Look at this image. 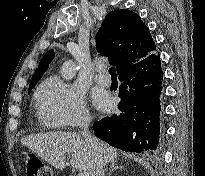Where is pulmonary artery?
I'll return each instance as SVG.
<instances>
[{
    "label": "pulmonary artery",
    "instance_id": "e3ab8cb5",
    "mask_svg": "<svg viewBox=\"0 0 205 176\" xmlns=\"http://www.w3.org/2000/svg\"><path fill=\"white\" fill-rule=\"evenodd\" d=\"M104 68L99 67L97 69V74L95 75V82L101 86L108 87L111 84V80L108 76L103 74Z\"/></svg>",
    "mask_w": 205,
    "mask_h": 176
}]
</instances>
